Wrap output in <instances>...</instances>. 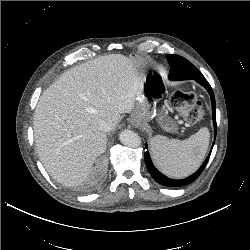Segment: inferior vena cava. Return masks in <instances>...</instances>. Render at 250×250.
Returning <instances> with one entry per match:
<instances>
[{
    "label": "inferior vena cava",
    "instance_id": "inferior-vena-cava-1",
    "mask_svg": "<svg viewBox=\"0 0 250 250\" xmlns=\"http://www.w3.org/2000/svg\"><path fill=\"white\" fill-rule=\"evenodd\" d=\"M99 129L103 132H109L112 129V125L108 121H102L99 125Z\"/></svg>",
    "mask_w": 250,
    "mask_h": 250
}]
</instances>
